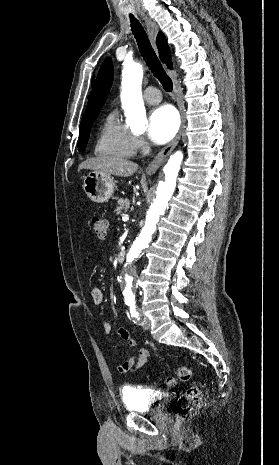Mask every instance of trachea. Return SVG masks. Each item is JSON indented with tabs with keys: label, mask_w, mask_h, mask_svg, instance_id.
Here are the masks:
<instances>
[{
	"label": "trachea",
	"mask_w": 279,
	"mask_h": 465,
	"mask_svg": "<svg viewBox=\"0 0 279 465\" xmlns=\"http://www.w3.org/2000/svg\"><path fill=\"white\" fill-rule=\"evenodd\" d=\"M130 22H131V29H132L133 35L137 41V44L139 46V49L142 53V56L147 66L149 67L153 75L160 81L163 88L167 92H171L173 89L172 80L164 71L160 61L158 60L151 46V43L142 25L132 15H130Z\"/></svg>",
	"instance_id": "trachea-1"
}]
</instances>
